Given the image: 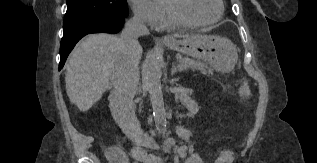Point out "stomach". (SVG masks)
I'll list each match as a JSON object with an SVG mask.
<instances>
[{"instance_id":"stomach-1","label":"stomach","mask_w":317,"mask_h":163,"mask_svg":"<svg viewBox=\"0 0 317 163\" xmlns=\"http://www.w3.org/2000/svg\"><path fill=\"white\" fill-rule=\"evenodd\" d=\"M164 45L187 56L206 60L221 71H231L238 59L233 43L220 36L196 35L164 42Z\"/></svg>"}]
</instances>
